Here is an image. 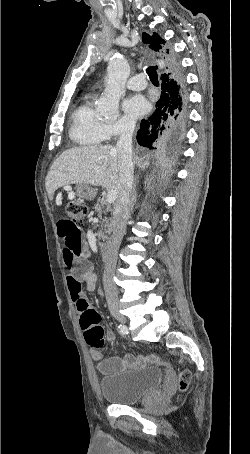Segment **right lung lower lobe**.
I'll use <instances>...</instances> for the list:
<instances>
[{
	"instance_id": "right-lung-lower-lobe-1",
	"label": "right lung lower lobe",
	"mask_w": 250,
	"mask_h": 454,
	"mask_svg": "<svg viewBox=\"0 0 250 454\" xmlns=\"http://www.w3.org/2000/svg\"><path fill=\"white\" fill-rule=\"evenodd\" d=\"M167 53L172 69L161 75L162 92L156 109L149 118L141 121L137 133V141L144 147L176 145L182 138L187 119L185 83L180 64L170 48H167Z\"/></svg>"
}]
</instances>
